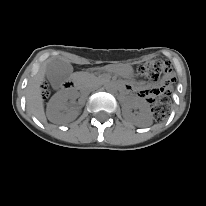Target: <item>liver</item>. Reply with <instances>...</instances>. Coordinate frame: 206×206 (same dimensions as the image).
I'll return each instance as SVG.
<instances>
[{
	"instance_id": "1",
	"label": "liver",
	"mask_w": 206,
	"mask_h": 206,
	"mask_svg": "<svg viewBox=\"0 0 206 206\" xmlns=\"http://www.w3.org/2000/svg\"><path fill=\"white\" fill-rule=\"evenodd\" d=\"M53 60L56 59H49L45 63H43L36 75L29 81L27 86V110L30 114L34 115L41 122H46L41 84L44 81L45 75L47 73V65ZM60 60L67 62V60L63 58H60ZM77 115V112L68 111L65 108L60 113L55 114V116L50 119V121L57 124H66L73 121L77 117Z\"/></svg>"
}]
</instances>
